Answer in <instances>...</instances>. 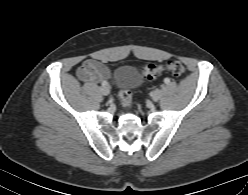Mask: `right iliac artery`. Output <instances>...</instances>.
<instances>
[{"label":"right iliac artery","instance_id":"82829eb1","mask_svg":"<svg viewBox=\"0 0 248 195\" xmlns=\"http://www.w3.org/2000/svg\"><path fill=\"white\" fill-rule=\"evenodd\" d=\"M102 85H103V86L107 85V82H106V81H103V82H102Z\"/></svg>","mask_w":248,"mask_h":195}]
</instances>
